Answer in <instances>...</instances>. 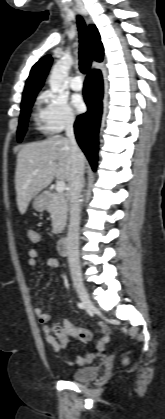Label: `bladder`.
<instances>
[{
	"instance_id": "31cf9c89",
	"label": "bladder",
	"mask_w": 165,
	"mask_h": 419,
	"mask_svg": "<svg viewBox=\"0 0 165 419\" xmlns=\"http://www.w3.org/2000/svg\"><path fill=\"white\" fill-rule=\"evenodd\" d=\"M99 374L97 366H87L75 370L69 374V378L73 381L83 382L95 379Z\"/></svg>"
}]
</instances>
